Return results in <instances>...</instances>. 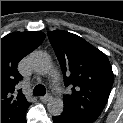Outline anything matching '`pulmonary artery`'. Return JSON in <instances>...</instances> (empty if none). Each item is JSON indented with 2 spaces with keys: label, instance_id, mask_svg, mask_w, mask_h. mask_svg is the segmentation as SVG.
Segmentation results:
<instances>
[{
  "label": "pulmonary artery",
  "instance_id": "obj_1",
  "mask_svg": "<svg viewBox=\"0 0 123 123\" xmlns=\"http://www.w3.org/2000/svg\"><path fill=\"white\" fill-rule=\"evenodd\" d=\"M54 77L56 78V74H54ZM55 89L58 90V87L56 84H55Z\"/></svg>",
  "mask_w": 123,
  "mask_h": 123
}]
</instances>
